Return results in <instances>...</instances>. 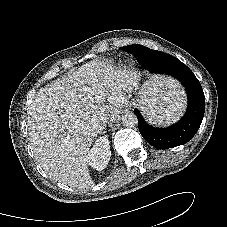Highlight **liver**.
I'll return each instance as SVG.
<instances>
[{
    "instance_id": "1",
    "label": "liver",
    "mask_w": 227,
    "mask_h": 227,
    "mask_svg": "<svg viewBox=\"0 0 227 227\" xmlns=\"http://www.w3.org/2000/svg\"><path fill=\"white\" fill-rule=\"evenodd\" d=\"M126 79L125 71L91 61L37 92L27 126L35 158L52 179L76 189L94 186L87 155L103 127L98 126L120 104L118 91Z\"/></svg>"
}]
</instances>
